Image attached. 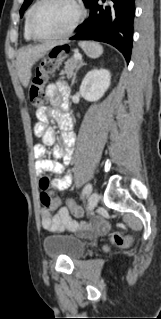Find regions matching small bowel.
I'll return each mask as SVG.
<instances>
[{
	"label": "small bowel",
	"mask_w": 161,
	"mask_h": 319,
	"mask_svg": "<svg viewBox=\"0 0 161 319\" xmlns=\"http://www.w3.org/2000/svg\"><path fill=\"white\" fill-rule=\"evenodd\" d=\"M46 95L51 106L42 107L36 112L38 122L34 126V134L41 137L42 143L35 144L33 147V156L36 159L35 172L38 175L45 172L59 175L53 181V188L57 191H64L72 183V174L67 172L62 164L45 158V154L46 146L54 145L52 154L55 158H64L65 162L69 163L73 157L75 134L72 131L71 120L65 113L68 108L70 88L64 80H57L55 83L47 85ZM51 118L56 119L62 129L61 144H55L56 133L53 128L46 126ZM81 212L82 209L74 201L68 200L67 205L61 206L55 214H52L48 209H43L41 223L43 228L50 232L65 229L86 233L104 232L106 230L103 221L99 219L80 223L74 221L72 214L80 216Z\"/></svg>",
	"instance_id": "1"
}]
</instances>
